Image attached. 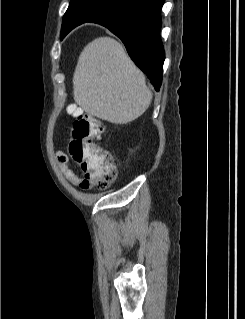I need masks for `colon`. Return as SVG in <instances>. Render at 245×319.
<instances>
[{
  "mask_svg": "<svg viewBox=\"0 0 245 319\" xmlns=\"http://www.w3.org/2000/svg\"><path fill=\"white\" fill-rule=\"evenodd\" d=\"M103 132L104 125L100 120L78 114L67 135V152L82 173L81 187L84 189H106L116 178V166L111 155L93 142Z\"/></svg>",
  "mask_w": 245,
  "mask_h": 319,
  "instance_id": "5ec220e1",
  "label": "colon"
}]
</instances>
